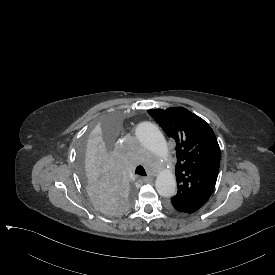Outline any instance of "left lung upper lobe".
<instances>
[{"mask_svg": "<svg viewBox=\"0 0 275 275\" xmlns=\"http://www.w3.org/2000/svg\"><path fill=\"white\" fill-rule=\"evenodd\" d=\"M176 141L178 191L171 206L188 213L199 210L213 192L220 165V148L211 127L182 107L148 110Z\"/></svg>", "mask_w": 275, "mask_h": 275, "instance_id": "5c2ea615", "label": "left lung upper lobe"}]
</instances>
